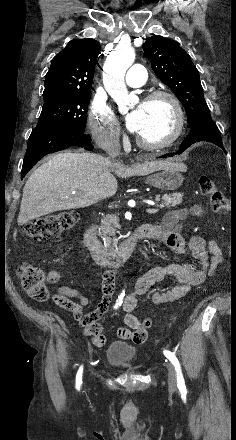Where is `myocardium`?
<instances>
[{
    "label": "myocardium",
    "mask_w": 236,
    "mask_h": 440,
    "mask_svg": "<svg viewBox=\"0 0 236 440\" xmlns=\"http://www.w3.org/2000/svg\"><path fill=\"white\" fill-rule=\"evenodd\" d=\"M160 98L167 99L173 108L174 117H175L174 129L171 135L167 139L157 143L147 142L137 136L136 137L137 145L146 150H161L167 148L172 144H174L181 137L184 131V125H185L184 112L182 105L179 99L175 96V94H173L168 90H162V89L154 90L145 96L144 102H150Z\"/></svg>",
    "instance_id": "myocardium-1"
}]
</instances>
